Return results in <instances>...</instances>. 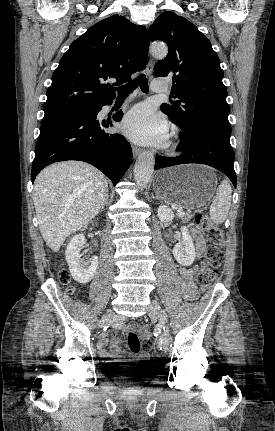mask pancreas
<instances>
[{
  "mask_svg": "<svg viewBox=\"0 0 275 431\" xmlns=\"http://www.w3.org/2000/svg\"><path fill=\"white\" fill-rule=\"evenodd\" d=\"M193 215L192 214H185L183 216H180V219L186 223L189 222L192 219Z\"/></svg>",
  "mask_w": 275,
  "mask_h": 431,
  "instance_id": "1",
  "label": "pancreas"
}]
</instances>
